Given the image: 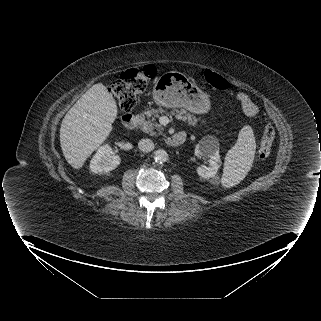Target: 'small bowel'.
<instances>
[{
  "mask_svg": "<svg viewBox=\"0 0 321 321\" xmlns=\"http://www.w3.org/2000/svg\"><path fill=\"white\" fill-rule=\"evenodd\" d=\"M236 102L242 107L243 111L251 116L255 117L258 115L259 110L256 104L252 101L250 96L245 92H236L234 94Z\"/></svg>",
  "mask_w": 321,
  "mask_h": 321,
  "instance_id": "c3829d8e",
  "label": "small bowel"
}]
</instances>
